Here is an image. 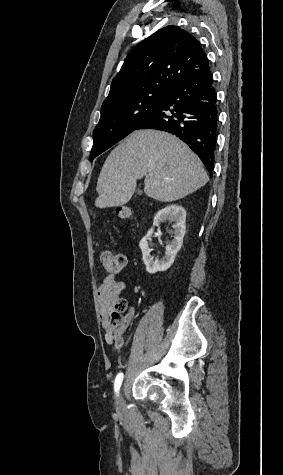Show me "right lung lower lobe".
Here are the masks:
<instances>
[{"instance_id":"right-lung-lower-lobe-1","label":"right lung lower lobe","mask_w":283,"mask_h":475,"mask_svg":"<svg viewBox=\"0 0 283 475\" xmlns=\"http://www.w3.org/2000/svg\"><path fill=\"white\" fill-rule=\"evenodd\" d=\"M217 128V94L210 71L174 86L136 130L156 129L176 135L200 157L212 177Z\"/></svg>"}]
</instances>
